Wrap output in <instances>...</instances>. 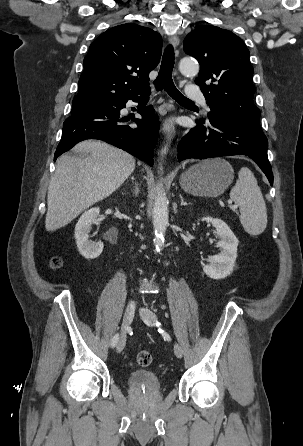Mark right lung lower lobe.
Here are the masks:
<instances>
[{
    "label": "right lung lower lobe",
    "instance_id": "98d812e1",
    "mask_svg": "<svg viewBox=\"0 0 303 446\" xmlns=\"http://www.w3.org/2000/svg\"><path fill=\"white\" fill-rule=\"evenodd\" d=\"M149 91L115 103L89 110L71 113L63 125L54 161L76 143L85 139H100L121 148L140 160L153 165V149L157 142L159 121L151 106L138 109L142 119H136L137 127L125 125L129 118H121L120 110L128 100L144 105ZM133 120V119H132ZM134 121V120H133Z\"/></svg>",
    "mask_w": 303,
    "mask_h": 446
}]
</instances>
